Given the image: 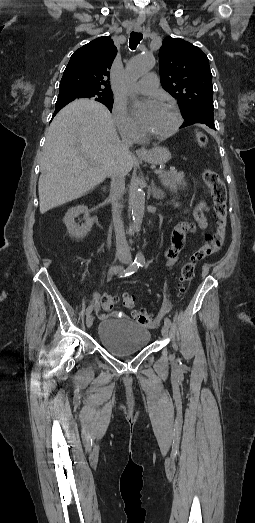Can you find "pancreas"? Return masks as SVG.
<instances>
[{
    "label": "pancreas",
    "instance_id": "obj_1",
    "mask_svg": "<svg viewBox=\"0 0 255 523\" xmlns=\"http://www.w3.org/2000/svg\"><path fill=\"white\" fill-rule=\"evenodd\" d=\"M160 182L165 188H169L173 194H177L178 186H186L183 172H168L159 175Z\"/></svg>",
    "mask_w": 255,
    "mask_h": 523
}]
</instances>
